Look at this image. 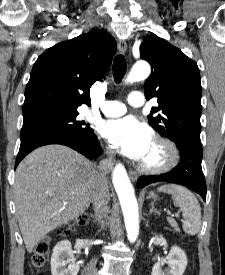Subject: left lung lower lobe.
Returning <instances> with one entry per match:
<instances>
[{
	"label": "left lung lower lobe",
	"mask_w": 225,
	"mask_h": 275,
	"mask_svg": "<svg viewBox=\"0 0 225 275\" xmlns=\"http://www.w3.org/2000/svg\"><path fill=\"white\" fill-rule=\"evenodd\" d=\"M180 162L166 174L142 176L137 181V187L142 188L154 182H171L186 186L202 196L206 201V183L202 172V146L199 143H186L178 147Z\"/></svg>",
	"instance_id": "1"
}]
</instances>
